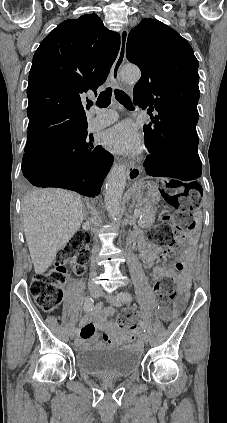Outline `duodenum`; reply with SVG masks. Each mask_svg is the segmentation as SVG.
Wrapping results in <instances>:
<instances>
[{
    "instance_id": "duodenum-1",
    "label": "duodenum",
    "mask_w": 227,
    "mask_h": 423,
    "mask_svg": "<svg viewBox=\"0 0 227 423\" xmlns=\"http://www.w3.org/2000/svg\"><path fill=\"white\" fill-rule=\"evenodd\" d=\"M147 242H148V241L144 240V241H142V242L140 243V245H139L138 249H139V252H140L141 254H144V253H145V250H146V244H147Z\"/></svg>"
}]
</instances>
